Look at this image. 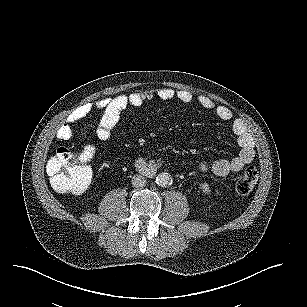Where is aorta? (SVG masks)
<instances>
[{
	"mask_svg": "<svg viewBox=\"0 0 307 307\" xmlns=\"http://www.w3.org/2000/svg\"><path fill=\"white\" fill-rule=\"evenodd\" d=\"M155 184L160 187H167L171 184V176L166 172L159 173L155 177Z\"/></svg>",
	"mask_w": 307,
	"mask_h": 307,
	"instance_id": "762f6f07",
	"label": "aorta"
}]
</instances>
